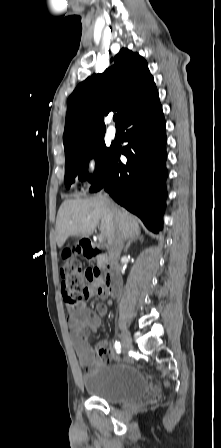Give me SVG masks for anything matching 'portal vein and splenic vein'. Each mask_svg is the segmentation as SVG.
<instances>
[{
    "instance_id": "obj_1",
    "label": "portal vein and splenic vein",
    "mask_w": 221,
    "mask_h": 448,
    "mask_svg": "<svg viewBox=\"0 0 221 448\" xmlns=\"http://www.w3.org/2000/svg\"><path fill=\"white\" fill-rule=\"evenodd\" d=\"M98 239H99V242H103L104 241V235H99V237H98Z\"/></svg>"
}]
</instances>
